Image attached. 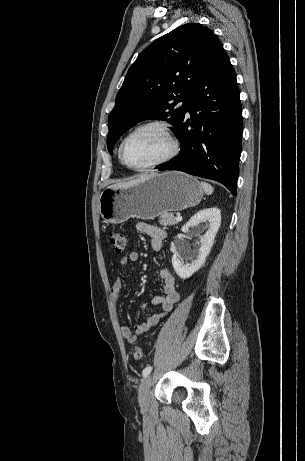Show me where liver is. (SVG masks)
Returning a JSON list of instances; mask_svg holds the SVG:
<instances>
[{
    "label": "liver",
    "mask_w": 305,
    "mask_h": 461,
    "mask_svg": "<svg viewBox=\"0 0 305 461\" xmlns=\"http://www.w3.org/2000/svg\"><path fill=\"white\" fill-rule=\"evenodd\" d=\"M154 174H151V175H147V176H141L140 178H137L135 180H131L129 182H123V183H117V184H114V185H111L109 188H127V187H131L135 184H138L139 182L147 179L148 177L150 176H153Z\"/></svg>",
    "instance_id": "liver-1"
}]
</instances>
